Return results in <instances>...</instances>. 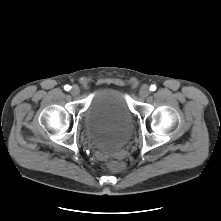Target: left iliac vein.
I'll return each instance as SVG.
<instances>
[{"mask_svg": "<svg viewBox=\"0 0 221 221\" xmlns=\"http://www.w3.org/2000/svg\"><path fill=\"white\" fill-rule=\"evenodd\" d=\"M150 94V89L147 85L141 86L139 90V95L143 98H146Z\"/></svg>", "mask_w": 221, "mask_h": 221, "instance_id": "left-iliac-vein-1", "label": "left iliac vein"}]
</instances>
